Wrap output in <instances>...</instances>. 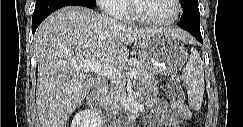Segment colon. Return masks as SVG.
Masks as SVG:
<instances>
[{
  "mask_svg": "<svg viewBox=\"0 0 243 127\" xmlns=\"http://www.w3.org/2000/svg\"><path fill=\"white\" fill-rule=\"evenodd\" d=\"M167 95L171 99L184 100V92L178 79L173 78L168 83Z\"/></svg>",
  "mask_w": 243,
  "mask_h": 127,
  "instance_id": "colon-1",
  "label": "colon"
}]
</instances>
